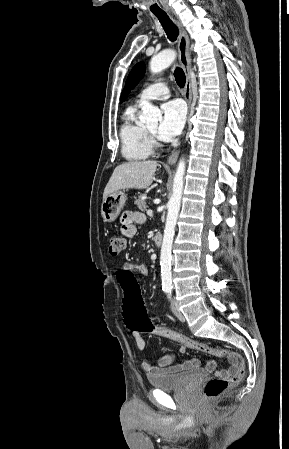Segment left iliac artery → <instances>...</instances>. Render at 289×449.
<instances>
[{
    "label": "left iliac artery",
    "instance_id": "obj_1",
    "mask_svg": "<svg viewBox=\"0 0 289 449\" xmlns=\"http://www.w3.org/2000/svg\"><path fill=\"white\" fill-rule=\"evenodd\" d=\"M167 293H168V298H170V296H171V290H169Z\"/></svg>",
    "mask_w": 289,
    "mask_h": 449
}]
</instances>
